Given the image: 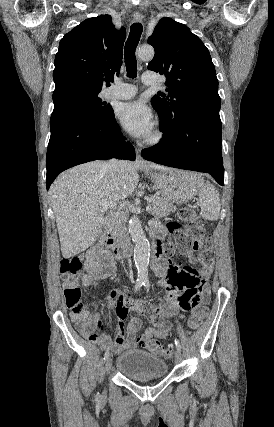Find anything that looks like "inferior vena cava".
Instances as JSON below:
<instances>
[{
    "label": "inferior vena cava",
    "mask_w": 274,
    "mask_h": 427,
    "mask_svg": "<svg viewBox=\"0 0 274 427\" xmlns=\"http://www.w3.org/2000/svg\"><path fill=\"white\" fill-rule=\"evenodd\" d=\"M106 168H109V170H113V172H120V164L118 160H109L106 164Z\"/></svg>",
    "instance_id": "inferior-vena-cava-1"
}]
</instances>
